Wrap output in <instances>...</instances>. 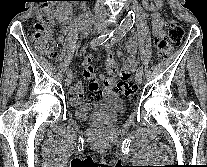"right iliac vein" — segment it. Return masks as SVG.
<instances>
[{
    "instance_id": "right-iliac-vein-1",
    "label": "right iliac vein",
    "mask_w": 207,
    "mask_h": 167,
    "mask_svg": "<svg viewBox=\"0 0 207 167\" xmlns=\"http://www.w3.org/2000/svg\"><path fill=\"white\" fill-rule=\"evenodd\" d=\"M72 81V73L68 74L66 80H65V84L66 85H70Z\"/></svg>"
}]
</instances>
